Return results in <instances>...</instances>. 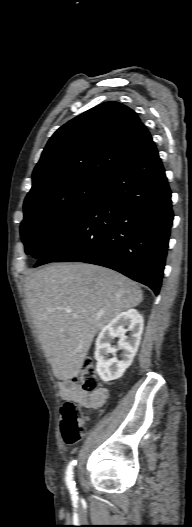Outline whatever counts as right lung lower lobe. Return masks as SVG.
<instances>
[{
	"label": "right lung lower lobe",
	"instance_id": "obj_1",
	"mask_svg": "<svg viewBox=\"0 0 192 527\" xmlns=\"http://www.w3.org/2000/svg\"><path fill=\"white\" fill-rule=\"evenodd\" d=\"M171 191L152 141L109 179L84 215L38 260L116 270L159 293L170 228Z\"/></svg>",
	"mask_w": 192,
	"mask_h": 527
}]
</instances>
